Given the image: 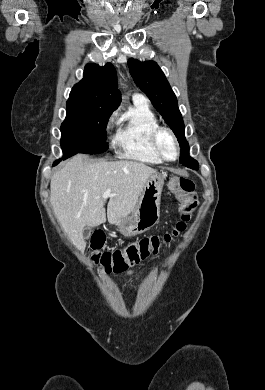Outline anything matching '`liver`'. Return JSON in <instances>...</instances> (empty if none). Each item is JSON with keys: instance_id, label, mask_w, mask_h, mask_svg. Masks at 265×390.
I'll return each mask as SVG.
<instances>
[{"instance_id": "liver-1", "label": "liver", "mask_w": 265, "mask_h": 390, "mask_svg": "<svg viewBox=\"0 0 265 390\" xmlns=\"http://www.w3.org/2000/svg\"><path fill=\"white\" fill-rule=\"evenodd\" d=\"M155 173V169L141 162L90 163L85 155H77L53 174L50 202L71 242L83 251L84 228L106 221L104 192L110 189L114 194L109 197L107 219L117 224L134 210L148 178Z\"/></svg>"}]
</instances>
